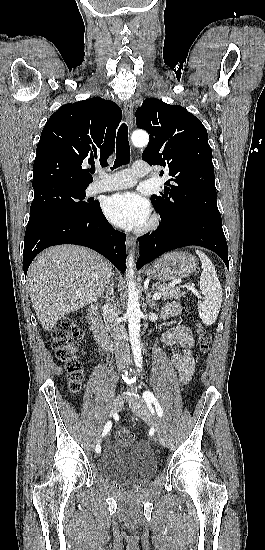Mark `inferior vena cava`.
Instances as JSON below:
<instances>
[{
    "label": "inferior vena cava",
    "mask_w": 265,
    "mask_h": 550,
    "mask_svg": "<svg viewBox=\"0 0 265 550\" xmlns=\"http://www.w3.org/2000/svg\"><path fill=\"white\" fill-rule=\"evenodd\" d=\"M108 289L107 285V291ZM103 310L105 312V324L109 328L113 339L117 368L123 370L131 363L127 332L119 321V311L113 299L107 300Z\"/></svg>",
    "instance_id": "602c4592"
}]
</instances>
